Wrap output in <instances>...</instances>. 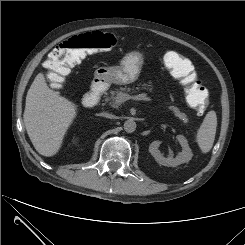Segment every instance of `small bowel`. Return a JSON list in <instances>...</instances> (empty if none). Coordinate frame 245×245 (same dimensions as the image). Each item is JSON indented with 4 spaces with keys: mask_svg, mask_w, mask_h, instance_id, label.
<instances>
[{
    "mask_svg": "<svg viewBox=\"0 0 245 245\" xmlns=\"http://www.w3.org/2000/svg\"><path fill=\"white\" fill-rule=\"evenodd\" d=\"M170 53H172V52L167 53L166 56H165V58ZM184 63H185V66L187 68V73L189 75H191L194 79H196V73H195V70H194V67H193L192 63L188 59H186V58H184Z\"/></svg>",
    "mask_w": 245,
    "mask_h": 245,
    "instance_id": "1",
    "label": "small bowel"
}]
</instances>
